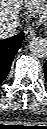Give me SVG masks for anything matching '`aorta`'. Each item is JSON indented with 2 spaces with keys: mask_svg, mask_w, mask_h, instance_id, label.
<instances>
[{
  "mask_svg": "<svg viewBox=\"0 0 47 129\" xmlns=\"http://www.w3.org/2000/svg\"><path fill=\"white\" fill-rule=\"evenodd\" d=\"M31 53L40 59L47 57V40L43 37H35L29 43Z\"/></svg>",
  "mask_w": 47,
  "mask_h": 129,
  "instance_id": "1",
  "label": "aorta"
}]
</instances>
